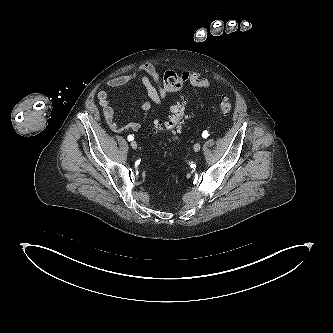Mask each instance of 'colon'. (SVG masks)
I'll list each match as a JSON object with an SVG mask.
<instances>
[{
	"label": "colon",
	"mask_w": 333,
	"mask_h": 333,
	"mask_svg": "<svg viewBox=\"0 0 333 333\" xmlns=\"http://www.w3.org/2000/svg\"><path fill=\"white\" fill-rule=\"evenodd\" d=\"M188 99L182 98V101L171 108V114L165 121H155L151 126L152 133H158L162 131L168 132L173 139L182 131L188 115L186 113V105ZM232 109V104L225 96L221 97L219 102V111L222 115H227Z\"/></svg>",
	"instance_id": "5ec220e1"
}]
</instances>
